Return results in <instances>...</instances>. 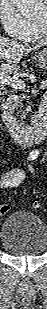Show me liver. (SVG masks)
I'll use <instances>...</instances> for the list:
<instances>
[{
  "instance_id": "6515ba94",
  "label": "liver",
  "mask_w": 47,
  "mask_h": 309,
  "mask_svg": "<svg viewBox=\"0 0 47 309\" xmlns=\"http://www.w3.org/2000/svg\"><path fill=\"white\" fill-rule=\"evenodd\" d=\"M35 46L21 45L17 41L1 36L0 37V59L5 60L0 65V75H16L20 71V60Z\"/></svg>"
}]
</instances>
